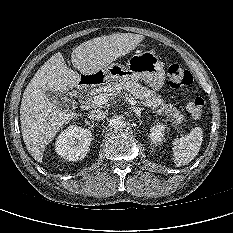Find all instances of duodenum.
Wrapping results in <instances>:
<instances>
[{
  "label": "duodenum",
  "instance_id": "410a0bca",
  "mask_svg": "<svg viewBox=\"0 0 233 233\" xmlns=\"http://www.w3.org/2000/svg\"><path fill=\"white\" fill-rule=\"evenodd\" d=\"M103 77L100 74L83 76L79 81L80 87H90L101 83Z\"/></svg>",
  "mask_w": 233,
  "mask_h": 233
}]
</instances>
